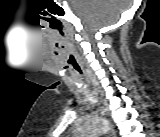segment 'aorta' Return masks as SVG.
I'll return each mask as SVG.
<instances>
[{"instance_id":"1","label":"aorta","mask_w":160,"mask_h":137,"mask_svg":"<svg viewBox=\"0 0 160 137\" xmlns=\"http://www.w3.org/2000/svg\"><path fill=\"white\" fill-rule=\"evenodd\" d=\"M98 132H106L108 130V127L105 123L101 122L98 124Z\"/></svg>"}]
</instances>
